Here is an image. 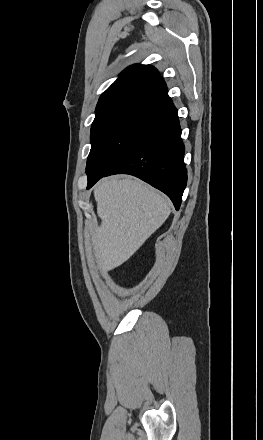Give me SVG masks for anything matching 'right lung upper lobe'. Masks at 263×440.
<instances>
[{
    "label": "right lung upper lobe",
    "mask_w": 263,
    "mask_h": 440,
    "mask_svg": "<svg viewBox=\"0 0 263 440\" xmlns=\"http://www.w3.org/2000/svg\"><path fill=\"white\" fill-rule=\"evenodd\" d=\"M167 99L166 83L151 65H132L100 96L96 115L114 108L160 106Z\"/></svg>",
    "instance_id": "cb5924a9"
}]
</instances>
